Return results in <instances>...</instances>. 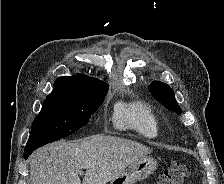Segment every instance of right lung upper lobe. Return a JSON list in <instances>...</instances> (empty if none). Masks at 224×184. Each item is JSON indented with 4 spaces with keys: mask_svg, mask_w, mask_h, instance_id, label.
Instances as JSON below:
<instances>
[{
    "mask_svg": "<svg viewBox=\"0 0 224 184\" xmlns=\"http://www.w3.org/2000/svg\"><path fill=\"white\" fill-rule=\"evenodd\" d=\"M108 88V84L83 74H77L71 77L64 76L55 80L53 91L47 98H78L90 96Z\"/></svg>",
    "mask_w": 224,
    "mask_h": 184,
    "instance_id": "1",
    "label": "right lung upper lobe"
}]
</instances>
